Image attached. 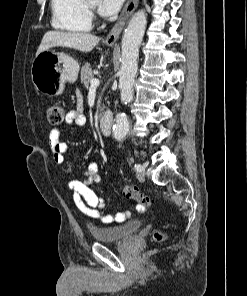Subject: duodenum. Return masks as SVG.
<instances>
[{
    "mask_svg": "<svg viewBox=\"0 0 247 296\" xmlns=\"http://www.w3.org/2000/svg\"><path fill=\"white\" fill-rule=\"evenodd\" d=\"M113 123L112 114L108 111L104 112L99 118L101 133L105 136H110L112 134Z\"/></svg>",
    "mask_w": 247,
    "mask_h": 296,
    "instance_id": "1",
    "label": "duodenum"
}]
</instances>
